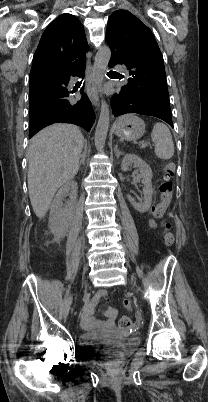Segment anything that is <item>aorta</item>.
<instances>
[{
    "label": "aorta",
    "mask_w": 208,
    "mask_h": 402,
    "mask_svg": "<svg viewBox=\"0 0 208 402\" xmlns=\"http://www.w3.org/2000/svg\"><path fill=\"white\" fill-rule=\"evenodd\" d=\"M110 58H111L110 48H108V46H101V48H99L95 56V62L93 64V78L98 88H101L102 86V82L104 80V74L106 72V68L108 66ZM109 120H110V114L108 104H106V102L102 100L100 116L94 138L96 150H102V148H104L105 146V140L107 138L109 128Z\"/></svg>",
    "instance_id": "aorta-1"
}]
</instances>
